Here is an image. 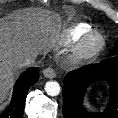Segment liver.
I'll list each match as a JSON object with an SVG mask.
<instances>
[{"label":"liver","mask_w":118,"mask_h":118,"mask_svg":"<svg viewBox=\"0 0 118 118\" xmlns=\"http://www.w3.org/2000/svg\"><path fill=\"white\" fill-rule=\"evenodd\" d=\"M60 25L42 10L24 9L10 20H0V103L6 98L19 70V63L56 45Z\"/></svg>","instance_id":"6515ba94"}]
</instances>
